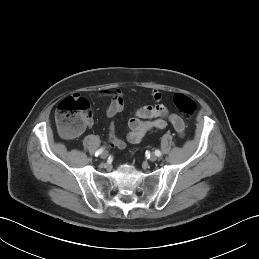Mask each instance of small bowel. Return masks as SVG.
<instances>
[{"mask_svg": "<svg viewBox=\"0 0 259 259\" xmlns=\"http://www.w3.org/2000/svg\"><path fill=\"white\" fill-rule=\"evenodd\" d=\"M100 93L111 99L106 109L108 117H113L124 109L125 102L121 90L114 88L102 90ZM150 95L155 104L139 108L135 116L128 121L129 131L126 136L127 141L132 144L138 143L147 133L155 129H163L167 123H170L176 132L180 136H183L185 124L181 117L171 113L168 108L161 103L162 94L158 90H152ZM92 124L93 121L91 118L87 126H91ZM108 138L111 146L118 149L125 148L126 142L115 134L113 127L110 128Z\"/></svg>", "mask_w": 259, "mask_h": 259, "instance_id": "1", "label": "small bowel"}]
</instances>
